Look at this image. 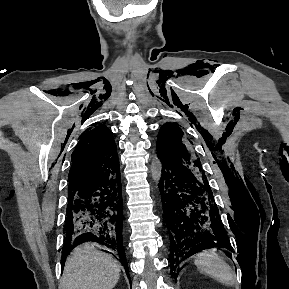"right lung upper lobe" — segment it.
<instances>
[{
    "instance_id": "obj_1",
    "label": "right lung upper lobe",
    "mask_w": 289,
    "mask_h": 289,
    "mask_svg": "<svg viewBox=\"0 0 289 289\" xmlns=\"http://www.w3.org/2000/svg\"><path fill=\"white\" fill-rule=\"evenodd\" d=\"M112 133L104 125L90 128L72 153L69 192L80 190L106 175L119 173Z\"/></svg>"
}]
</instances>
